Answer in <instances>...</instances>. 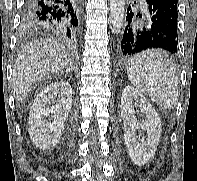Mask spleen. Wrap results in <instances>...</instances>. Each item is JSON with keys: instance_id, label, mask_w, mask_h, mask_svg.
Returning <instances> with one entry per match:
<instances>
[{"instance_id": "1", "label": "spleen", "mask_w": 197, "mask_h": 181, "mask_svg": "<svg viewBox=\"0 0 197 181\" xmlns=\"http://www.w3.org/2000/svg\"><path fill=\"white\" fill-rule=\"evenodd\" d=\"M131 83L155 103L172 109L178 101V77L171 58L162 49H149L128 63Z\"/></svg>"}]
</instances>
